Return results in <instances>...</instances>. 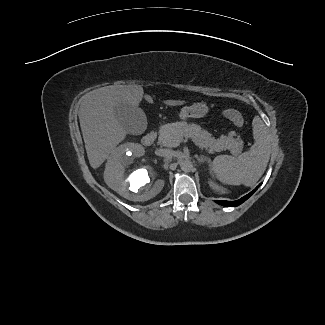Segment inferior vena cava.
Listing matches in <instances>:
<instances>
[{
    "label": "inferior vena cava",
    "instance_id": "602c4592",
    "mask_svg": "<svg viewBox=\"0 0 325 325\" xmlns=\"http://www.w3.org/2000/svg\"><path fill=\"white\" fill-rule=\"evenodd\" d=\"M157 154L159 156H164V157H171L174 155V152L172 150H169V149H159L157 151Z\"/></svg>",
    "mask_w": 325,
    "mask_h": 325
}]
</instances>
